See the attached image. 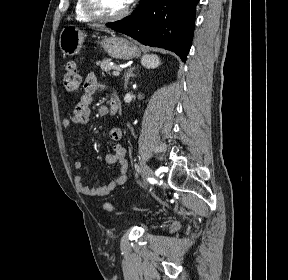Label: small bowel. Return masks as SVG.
Masks as SVG:
<instances>
[{"mask_svg": "<svg viewBox=\"0 0 288 280\" xmlns=\"http://www.w3.org/2000/svg\"><path fill=\"white\" fill-rule=\"evenodd\" d=\"M101 88L102 85L99 83L96 75L94 73L88 74L83 85L84 93L74 107L70 117L62 120L61 123L63 128L69 129L73 124L82 125L89 121L91 116L90 105L93 96ZM109 137L113 144L111 151L105 156V161L109 165H117L119 168L118 174L114 180L98 187H89L84 183V180L80 175L75 176V185L78 191L84 195L97 197L106 196L117 187L123 185L128 178V161L126 159V149L121 143L123 137L121 129L116 126L110 127ZM74 166L76 169H82L84 163L82 161H76Z\"/></svg>", "mask_w": 288, "mask_h": 280, "instance_id": "small-bowel-1", "label": "small bowel"}]
</instances>
